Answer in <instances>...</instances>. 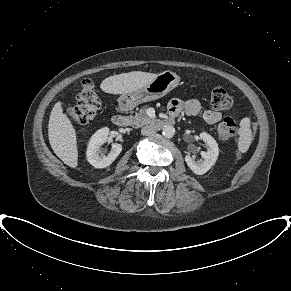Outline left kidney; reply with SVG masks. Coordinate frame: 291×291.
Returning <instances> with one entry per match:
<instances>
[{
	"label": "left kidney",
	"mask_w": 291,
	"mask_h": 291,
	"mask_svg": "<svg viewBox=\"0 0 291 291\" xmlns=\"http://www.w3.org/2000/svg\"><path fill=\"white\" fill-rule=\"evenodd\" d=\"M200 138L207 145V151L201 152L203 160L196 162L194 156H185V161L188 167L197 175L205 174L215 164L219 155L218 144L211 135L206 132H202L200 133Z\"/></svg>",
	"instance_id": "1"
}]
</instances>
